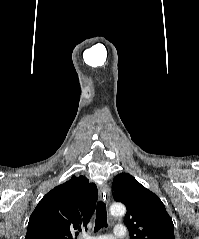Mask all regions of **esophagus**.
<instances>
[{
    "instance_id": "obj_1",
    "label": "esophagus",
    "mask_w": 199,
    "mask_h": 239,
    "mask_svg": "<svg viewBox=\"0 0 199 239\" xmlns=\"http://www.w3.org/2000/svg\"><path fill=\"white\" fill-rule=\"evenodd\" d=\"M99 196L107 204L109 203L110 188H109V186L106 183L100 186V188H99Z\"/></svg>"
}]
</instances>
